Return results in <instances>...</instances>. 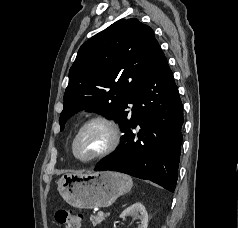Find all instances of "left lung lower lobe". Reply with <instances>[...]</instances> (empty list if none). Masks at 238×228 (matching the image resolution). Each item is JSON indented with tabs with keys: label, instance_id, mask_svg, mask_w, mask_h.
<instances>
[{
	"label": "left lung lower lobe",
	"instance_id": "1",
	"mask_svg": "<svg viewBox=\"0 0 238 228\" xmlns=\"http://www.w3.org/2000/svg\"><path fill=\"white\" fill-rule=\"evenodd\" d=\"M132 103V111L121 125L124 134L119 148L94 170L126 173L173 192L181 153L183 106L161 48ZM136 127L138 132L134 131Z\"/></svg>",
	"mask_w": 238,
	"mask_h": 228
}]
</instances>
